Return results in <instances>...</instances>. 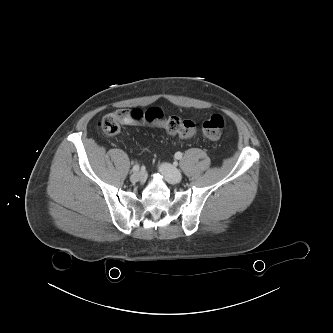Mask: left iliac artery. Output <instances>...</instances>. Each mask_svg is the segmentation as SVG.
<instances>
[{"label": "left iliac artery", "instance_id": "44dca946", "mask_svg": "<svg viewBox=\"0 0 333 333\" xmlns=\"http://www.w3.org/2000/svg\"><path fill=\"white\" fill-rule=\"evenodd\" d=\"M175 158L180 160L182 158V153L181 152H176L175 153Z\"/></svg>", "mask_w": 333, "mask_h": 333}]
</instances>
